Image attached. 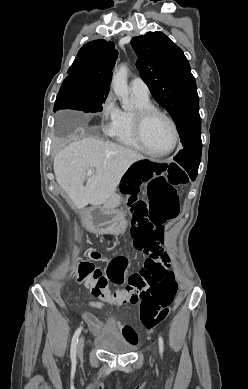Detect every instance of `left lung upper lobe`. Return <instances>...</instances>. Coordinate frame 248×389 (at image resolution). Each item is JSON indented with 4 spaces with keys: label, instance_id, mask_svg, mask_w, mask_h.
I'll return each mask as SVG.
<instances>
[{
    "label": "left lung upper lobe",
    "instance_id": "left-lung-upper-lobe-1",
    "mask_svg": "<svg viewBox=\"0 0 248 389\" xmlns=\"http://www.w3.org/2000/svg\"><path fill=\"white\" fill-rule=\"evenodd\" d=\"M131 44L138 56L140 76L154 99L177 124L190 109L199 107L195 78L183 51L162 32L134 37ZM183 146L193 140L181 138Z\"/></svg>",
    "mask_w": 248,
    "mask_h": 389
}]
</instances>
